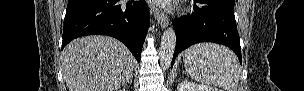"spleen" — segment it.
Instances as JSON below:
<instances>
[{"label": "spleen", "instance_id": "obj_1", "mask_svg": "<svg viewBox=\"0 0 304 91\" xmlns=\"http://www.w3.org/2000/svg\"><path fill=\"white\" fill-rule=\"evenodd\" d=\"M183 62L192 79L226 91H237L241 70L229 48L214 43L196 44L184 52Z\"/></svg>", "mask_w": 304, "mask_h": 91}]
</instances>
